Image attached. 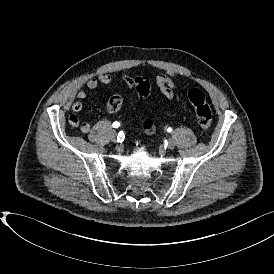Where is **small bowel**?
<instances>
[{
	"mask_svg": "<svg viewBox=\"0 0 274 274\" xmlns=\"http://www.w3.org/2000/svg\"><path fill=\"white\" fill-rule=\"evenodd\" d=\"M177 77V72L167 70L159 74L155 79L156 85L161 94L169 101H172L175 98V91L178 88V84L176 81ZM115 82H122L126 84L129 88L133 87L131 83V78L124 75L101 73L98 76H92L86 81L85 88H81L77 92V100L72 104L73 112L78 113L82 110L83 102L88 97V90H95L99 87L100 84L109 85ZM77 128H79L83 134H87L91 130V125L87 122L81 123L78 119Z\"/></svg>",
	"mask_w": 274,
	"mask_h": 274,
	"instance_id": "small-bowel-1",
	"label": "small bowel"
}]
</instances>
